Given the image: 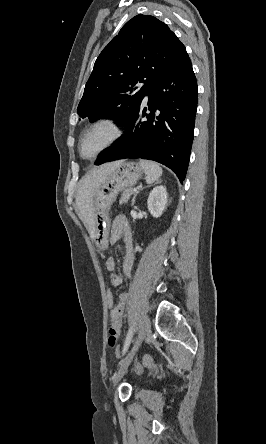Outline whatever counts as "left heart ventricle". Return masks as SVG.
<instances>
[{
    "instance_id": "obj_1",
    "label": "left heart ventricle",
    "mask_w": 266,
    "mask_h": 444,
    "mask_svg": "<svg viewBox=\"0 0 266 444\" xmlns=\"http://www.w3.org/2000/svg\"><path fill=\"white\" fill-rule=\"evenodd\" d=\"M109 138V130L107 128H98L88 134L83 142V152L90 156L101 148Z\"/></svg>"
}]
</instances>
